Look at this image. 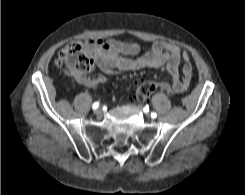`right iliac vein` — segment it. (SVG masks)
<instances>
[{
  "instance_id": "1",
  "label": "right iliac vein",
  "mask_w": 245,
  "mask_h": 195,
  "mask_svg": "<svg viewBox=\"0 0 245 195\" xmlns=\"http://www.w3.org/2000/svg\"><path fill=\"white\" fill-rule=\"evenodd\" d=\"M94 113H95L97 116H101V115H102V110H101V108L96 109V110L94 111Z\"/></svg>"
}]
</instances>
